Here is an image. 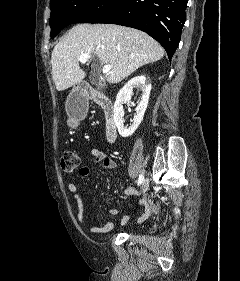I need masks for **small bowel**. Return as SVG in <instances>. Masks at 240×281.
Wrapping results in <instances>:
<instances>
[{
    "label": "small bowel",
    "mask_w": 240,
    "mask_h": 281,
    "mask_svg": "<svg viewBox=\"0 0 240 281\" xmlns=\"http://www.w3.org/2000/svg\"><path fill=\"white\" fill-rule=\"evenodd\" d=\"M89 155L94 163H99L102 166V168L105 170H115L118 167L117 162L114 159H112L111 157H109L104 151H101L96 148H92L89 151ZM90 173H91V167L88 164L81 166L78 171V174L81 177H87V176H89ZM67 187H68L69 192L72 194L75 205H76L77 220L79 221V223L83 224L86 220V211H85V204L82 199V195L80 194L78 187L75 183L70 182ZM122 194L125 196H128L131 194H135V192L132 188L129 187V188H125L123 190ZM139 205H140V207L143 208V212H142L141 216L138 218V222L141 223V222H144L145 220H147L151 216L154 207L147 198H143L140 201ZM118 212H119V209H117V208H112L108 211V213L111 216L117 215ZM129 218H130L129 215H122L120 218V223L122 225H124L129 220ZM113 227H114V224L111 222H108L105 225L100 226V227L90 226L88 228V231L91 233H95V234H102V233L110 232L113 229Z\"/></svg>",
    "instance_id": "small-bowel-1"
}]
</instances>
